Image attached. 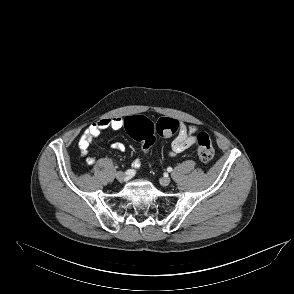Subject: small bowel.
Wrapping results in <instances>:
<instances>
[{
  "label": "small bowel",
  "instance_id": "small-bowel-1",
  "mask_svg": "<svg viewBox=\"0 0 294 294\" xmlns=\"http://www.w3.org/2000/svg\"><path fill=\"white\" fill-rule=\"evenodd\" d=\"M125 126V118L112 117L103 118L92 123L82 134L79 139V148L82 155L85 157L87 164L92 165L95 163V158L89 154L90 145L95 142L100 136L101 132L105 129L119 130ZM196 128L194 126H187L184 123L179 124V129L176 137L172 141L169 150L170 156H176L190 148L196 142L195 137ZM111 147L120 152L125 151V145L121 142H113ZM135 169L141 166V161L136 160L133 164Z\"/></svg>",
  "mask_w": 294,
  "mask_h": 294
}]
</instances>
